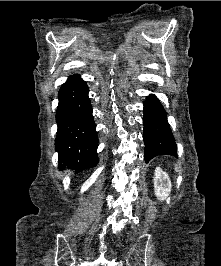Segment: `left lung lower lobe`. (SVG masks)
Instances as JSON below:
<instances>
[{
    "label": "left lung lower lobe",
    "mask_w": 221,
    "mask_h": 266,
    "mask_svg": "<svg viewBox=\"0 0 221 266\" xmlns=\"http://www.w3.org/2000/svg\"><path fill=\"white\" fill-rule=\"evenodd\" d=\"M143 122L146 163L158 155H177L166 111L155 95H149L144 102Z\"/></svg>",
    "instance_id": "obj_1"
}]
</instances>
